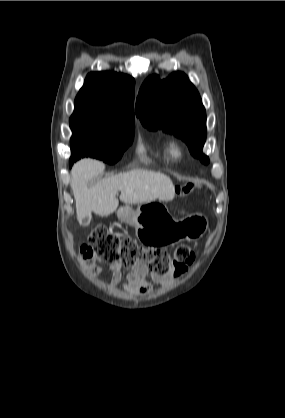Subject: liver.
<instances>
[{
  "mask_svg": "<svg viewBox=\"0 0 285 418\" xmlns=\"http://www.w3.org/2000/svg\"><path fill=\"white\" fill-rule=\"evenodd\" d=\"M104 169L103 163L89 158L78 161L72 167L71 189L79 222L91 212L103 217L116 211L119 205L116 198L118 191L121 192L120 200L125 204H143L156 199L170 201L174 198L175 190L170 177L143 169L104 178L88 188L89 180Z\"/></svg>",
  "mask_w": 285,
  "mask_h": 418,
  "instance_id": "obj_1",
  "label": "liver"
}]
</instances>
